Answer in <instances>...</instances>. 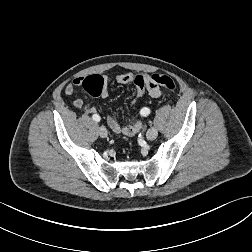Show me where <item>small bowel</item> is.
Listing matches in <instances>:
<instances>
[{
	"label": "small bowel",
	"mask_w": 252,
	"mask_h": 252,
	"mask_svg": "<svg viewBox=\"0 0 252 252\" xmlns=\"http://www.w3.org/2000/svg\"><path fill=\"white\" fill-rule=\"evenodd\" d=\"M138 77H142L144 79L146 88L151 97L158 98L161 96L162 91L159 85H157L151 79V77L147 74H133V73L118 74L116 76V80L118 83H121V84H131V83H135ZM83 80H84V77H77L72 82L67 84L64 90L65 94L68 96H73L75 93V88L81 86ZM101 96L103 98H106L108 96L107 88L102 92ZM72 104L74 107L82 110L87 115H92V114L94 115L96 113V109L92 105L84 103L83 100L80 98L74 99ZM107 123L109 127L112 129V131H114L115 133H121L127 136H133L142 127V124L140 121H135L132 124L122 126L111 115L107 116Z\"/></svg>",
	"instance_id": "small-bowel-1"
}]
</instances>
